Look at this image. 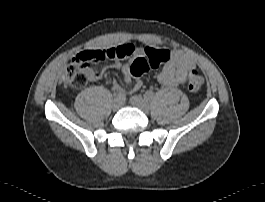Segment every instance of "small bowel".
<instances>
[{
  "label": "small bowel",
  "instance_id": "small-bowel-1",
  "mask_svg": "<svg viewBox=\"0 0 265 202\" xmlns=\"http://www.w3.org/2000/svg\"><path fill=\"white\" fill-rule=\"evenodd\" d=\"M109 48L98 49V51H106ZM117 53H122L121 58H115L110 65L111 68L121 69L124 75V81L130 85L134 81L133 90L138 91L142 87V82L131 74V63H123L125 59L130 58L135 54L143 53L140 48L134 47L132 44H122L112 48ZM196 64L194 59L182 50H174L170 54V60L164 66L159 74V82L167 87H174L186 82L190 70L195 69ZM85 74L89 81H97L101 78V73L93 66L87 65L84 68ZM114 91H122V87L118 83H113Z\"/></svg>",
  "mask_w": 265,
  "mask_h": 202
}]
</instances>
